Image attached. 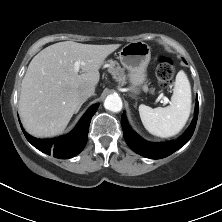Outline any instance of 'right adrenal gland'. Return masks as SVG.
<instances>
[{
  "label": "right adrenal gland",
  "instance_id": "2a0ac1e0",
  "mask_svg": "<svg viewBox=\"0 0 222 222\" xmlns=\"http://www.w3.org/2000/svg\"><path fill=\"white\" fill-rule=\"evenodd\" d=\"M84 102H86V99H85V100H82V102L80 103L79 107H78L77 110H76V113L79 111V109L81 108V106L83 105Z\"/></svg>",
  "mask_w": 222,
  "mask_h": 222
}]
</instances>
